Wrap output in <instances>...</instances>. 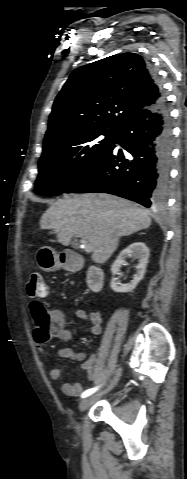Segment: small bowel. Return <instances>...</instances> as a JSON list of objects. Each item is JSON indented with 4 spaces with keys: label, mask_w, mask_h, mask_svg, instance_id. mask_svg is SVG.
Masks as SVG:
<instances>
[{
    "label": "small bowel",
    "mask_w": 187,
    "mask_h": 479,
    "mask_svg": "<svg viewBox=\"0 0 187 479\" xmlns=\"http://www.w3.org/2000/svg\"><path fill=\"white\" fill-rule=\"evenodd\" d=\"M52 329L51 335L53 339L60 342L67 343L72 339V333L65 328L66 316L63 310L54 308L50 311ZM75 316L89 324L90 332L93 335H98L102 331V315L99 311L87 312L83 309L77 308L74 311ZM40 351H43L42 347ZM60 357L75 360L81 362V371L86 374L90 381H93L97 377V370L95 367L97 357L95 354L87 356L83 352L75 351L69 346H64L58 351ZM49 376L53 380H57L61 377V367L54 365L49 369ZM83 391V386L78 383H64L62 385V392L66 396L78 397Z\"/></svg>",
    "instance_id": "c3829d8e"
}]
</instances>
